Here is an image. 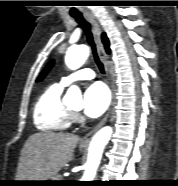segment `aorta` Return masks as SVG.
Masks as SVG:
<instances>
[{"label": "aorta", "instance_id": "obj_1", "mask_svg": "<svg viewBox=\"0 0 178 186\" xmlns=\"http://www.w3.org/2000/svg\"><path fill=\"white\" fill-rule=\"evenodd\" d=\"M89 56V48L85 45L70 48L65 56V63L71 70L80 68ZM65 100L71 103H81L82 95L76 85H72L65 95ZM112 128L109 126L100 129L92 138L88 150V158L82 181H93L101 161L103 150L110 140Z\"/></svg>", "mask_w": 178, "mask_h": 186}]
</instances>
